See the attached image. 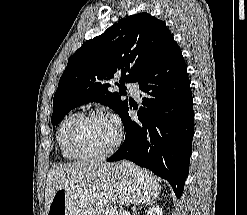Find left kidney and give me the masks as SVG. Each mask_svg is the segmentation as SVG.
I'll use <instances>...</instances> for the list:
<instances>
[{"label":"left kidney","instance_id":"obj_1","mask_svg":"<svg viewBox=\"0 0 247 215\" xmlns=\"http://www.w3.org/2000/svg\"><path fill=\"white\" fill-rule=\"evenodd\" d=\"M163 214V210L162 208H160L159 206H153L150 207L147 211L146 215H162Z\"/></svg>","mask_w":247,"mask_h":215}]
</instances>
